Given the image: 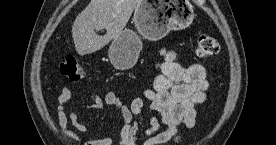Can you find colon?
Listing matches in <instances>:
<instances>
[{
  "mask_svg": "<svg viewBox=\"0 0 276 145\" xmlns=\"http://www.w3.org/2000/svg\"><path fill=\"white\" fill-rule=\"evenodd\" d=\"M220 51L219 42L207 35L199 34L197 36L196 54L199 58H208L215 56ZM60 74L70 80L78 81L84 77L83 71L74 56H68L60 62Z\"/></svg>",
  "mask_w": 276,
  "mask_h": 145,
  "instance_id": "1",
  "label": "colon"
}]
</instances>
